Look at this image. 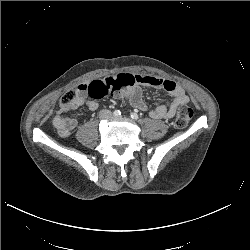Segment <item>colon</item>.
I'll list each match as a JSON object with an SVG mask.
<instances>
[{"mask_svg": "<svg viewBox=\"0 0 250 250\" xmlns=\"http://www.w3.org/2000/svg\"><path fill=\"white\" fill-rule=\"evenodd\" d=\"M88 95L95 99H103L110 94L109 85L103 80H95L87 86ZM78 98V91L73 89L65 93L60 101L61 107L64 110L74 108ZM193 117V110L190 107H180L176 113L174 124L177 128L182 129L186 127Z\"/></svg>", "mask_w": 250, "mask_h": 250, "instance_id": "5ec220e1", "label": "colon"}]
</instances>
